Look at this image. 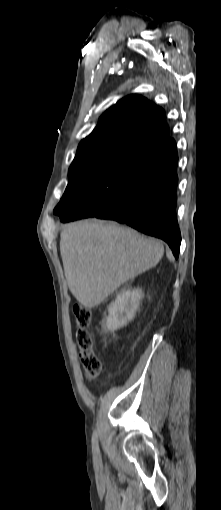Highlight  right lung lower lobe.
Here are the masks:
<instances>
[{
	"instance_id": "98d812e1",
	"label": "right lung lower lobe",
	"mask_w": 221,
	"mask_h": 510,
	"mask_svg": "<svg viewBox=\"0 0 221 510\" xmlns=\"http://www.w3.org/2000/svg\"><path fill=\"white\" fill-rule=\"evenodd\" d=\"M177 163L173 141L150 154L125 194L112 207L90 212L80 204L60 219L62 222L87 217L115 220L164 240L178 258L181 235L176 217Z\"/></svg>"
}]
</instances>
